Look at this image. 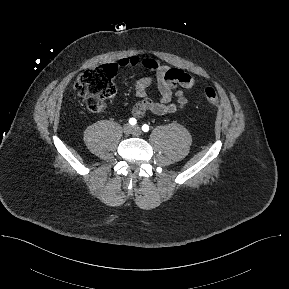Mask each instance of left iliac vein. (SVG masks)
<instances>
[{
	"label": "left iliac vein",
	"instance_id": "1",
	"mask_svg": "<svg viewBox=\"0 0 289 289\" xmlns=\"http://www.w3.org/2000/svg\"><path fill=\"white\" fill-rule=\"evenodd\" d=\"M133 132L135 135H140L141 134V129L139 126H134L133 127Z\"/></svg>",
	"mask_w": 289,
	"mask_h": 289
}]
</instances>
